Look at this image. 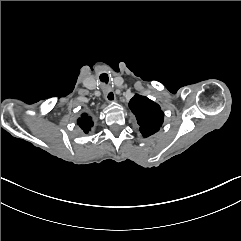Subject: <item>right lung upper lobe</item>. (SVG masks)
Returning <instances> with one entry per match:
<instances>
[{
	"label": "right lung upper lobe",
	"mask_w": 241,
	"mask_h": 241,
	"mask_svg": "<svg viewBox=\"0 0 241 241\" xmlns=\"http://www.w3.org/2000/svg\"><path fill=\"white\" fill-rule=\"evenodd\" d=\"M78 125L85 133H88L93 126L92 118L87 114H82L81 118L78 119Z\"/></svg>",
	"instance_id": "obj_1"
}]
</instances>
